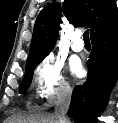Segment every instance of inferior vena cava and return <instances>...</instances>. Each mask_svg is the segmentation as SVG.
Segmentation results:
<instances>
[{
	"label": "inferior vena cava",
	"mask_w": 118,
	"mask_h": 123,
	"mask_svg": "<svg viewBox=\"0 0 118 123\" xmlns=\"http://www.w3.org/2000/svg\"><path fill=\"white\" fill-rule=\"evenodd\" d=\"M72 89L69 85H62L59 88L57 96V104L55 107L54 115L58 119L59 123H69L66 118L70 100H71Z\"/></svg>",
	"instance_id": "602c4592"
}]
</instances>
